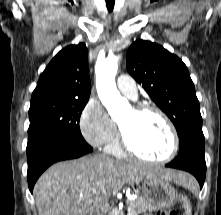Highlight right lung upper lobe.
<instances>
[{"label":"right lung upper lobe","mask_w":221,"mask_h":215,"mask_svg":"<svg viewBox=\"0 0 221 215\" xmlns=\"http://www.w3.org/2000/svg\"><path fill=\"white\" fill-rule=\"evenodd\" d=\"M91 84L84 43L63 48L41 74L31 105L47 101H88Z\"/></svg>","instance_id":"cb5924a9"}]
</instances>
